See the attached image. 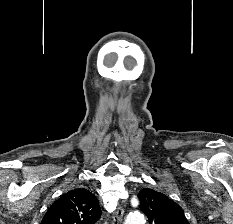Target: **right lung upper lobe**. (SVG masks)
Returning <instances> with one entry per match:
<instances>
[{
	"instance_id": "cb5924a9",
	"label": "right lung upper lobe",
	"mask_w": 233,
	"mask_h": 224,
	"mask_svg": "<svg viewBox=\"0 0 233 224\" xmlns=\"http://www.w3.org/2000/svg\"><path fill=\"white\" fill-rule=\"evenodd\" d=\"M100 216L97 198L86 189H75L51 205L41 224H95Z\"/></svg>"
}]
</instances>
